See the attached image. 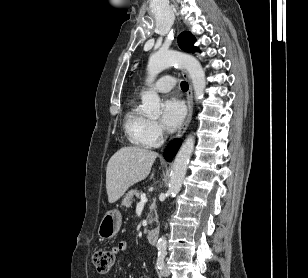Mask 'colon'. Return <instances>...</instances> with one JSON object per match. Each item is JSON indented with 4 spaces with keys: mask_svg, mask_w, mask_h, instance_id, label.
Listing matches in <instances>:
<instances>
[{
    "mask_svg": "<svg viewBox=\"0 0 308 278\" xmlns=\"http://www.w3.org/2000/svg\"><path fill=\"white\" fill-rule=\"evenodd\" d=\"M115 263V255L111 250L99 249L93 254V264L101 274L109 273Z\"/></svg>",
    "mask_w": 308,
    "mask_h": 278,
    "instance_id": "1",
    "label": "colon"
}]
</instances>
